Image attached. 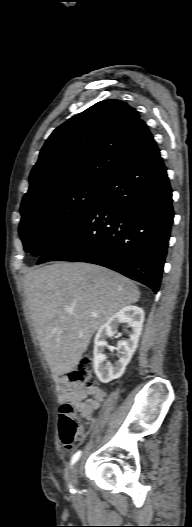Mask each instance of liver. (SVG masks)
<instances>
[{
    "label": "liver",
    "instance_id": "1",
    "mask_svg": "<svg viewBox=\"0 0 192 527\" xmlns=\"http://www.w3.org/2000/svg\"><path fill=\"white\" fill-rule=\"evenodd\" d=\"M23 286L41 349L58 375L74 370L93 334L140 298L128 278L87 263L57 262L29 271Z\"/></svg>",
    "mask_w": 192,
    "mask_h": 527
}]
</instances>
